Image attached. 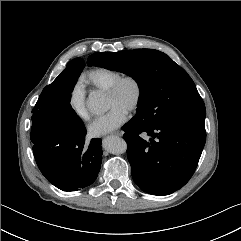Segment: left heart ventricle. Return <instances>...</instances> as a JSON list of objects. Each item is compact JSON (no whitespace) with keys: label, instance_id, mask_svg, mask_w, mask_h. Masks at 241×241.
<instances>
[{"label":"left heart ventricle","instance_id":"obj_1","mask_svg":"<svg viewBox=\"0 0 241 241\" xmlns=\"http://www.w3.org/2000/svg\"><path fill=\"white\" fill-rule=\"evenodd\" d=\"M135 98V86L132 82L123 83L116 95H106V107L111 109L114 106L129 110Z\"/></svg>","mask_w":241,"mask_h":241}]
</instances>
